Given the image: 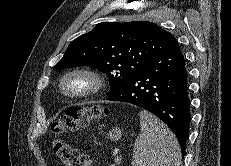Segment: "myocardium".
I'll return each instance as SVG.
<instances>
[{
	"label": "myocardium",
	"mask_w": 231,
	"mask_h": 166,
	"mask_svg": "<svg viewBox=\"0 0 231 166\" xmlns=\"http://www.w3.org/2000/svg\"><path fill=\"white\" fill-rule=\"evenodd\" d=\"M81 81L80 87H73L70 84L73 81ZM106 81L104 75L91 67H74L67 70L59 79L58 88L66 98L79 99L96 95L105 87Z\"/></svg>",
	"instance_id": "f54148a6"
}]
</instances>
